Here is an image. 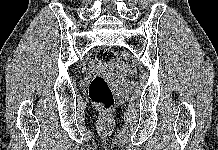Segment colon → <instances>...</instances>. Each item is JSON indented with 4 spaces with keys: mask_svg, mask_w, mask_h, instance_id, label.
Returning <instances> with one entry per match:
<instances>
[{
    "mask_svg": "<svg viewBox=\"0 0 218 150\" xmlns=\"http://www.w3.org/2000/svg\"><path fill=\"white\" fill-rule=\"evenodd\" d=\"M114 53L108 48H102L97 51L96 59L100 65L108 66L114 60ZM89 98L91 102L103 111H109L115 102L113 91L102 75H96L89 85Z\"/></svg>",
    "mask_w": 218,
    "mask_h": 150,
    "instance_id": "5ec220e1",
    "label": "colon"
}]
</instances>
